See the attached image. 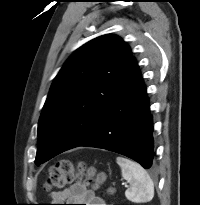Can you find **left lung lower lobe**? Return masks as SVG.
I'll use <instances>...</instances> for the list:
<instances>
[{"label":"left lung lower lobe","instance_id":"left-lung-lower-lobe-1","mask_svg":"<svg viewBox=\"0 0 200 205\" xmlns=\"http://www.w3.org/2000/svg\"><path fill=\"white\" fill-rule=\"evenodd\" d=\"M152 132L146 87L136 60L132 58L110 105L78 146L117 152L150 169L154 159Z\"/></svg>","mask_w":200,"mask_h":205}]
</instances>
